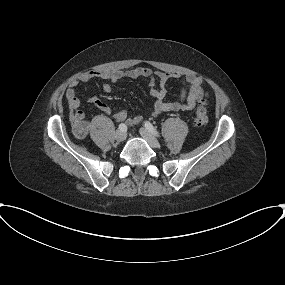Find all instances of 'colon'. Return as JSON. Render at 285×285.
Masks as SVG:
<instances>
[{"instance_id": "5ec220e1", "label": "colon", "mask_w": 285, "mask_h": 285, "mask_svg": "<svg viewBox=\"0 0 285 285\" xmlns=\"http://www.w3.org/2000/svg\"><path fill=\"white\" fill-rule=\"evenodd\" d=\"M194 122L197 127H204L208 122L206 102L204 100H201L197 105ZM87 130L88 127L85 121L75 122L74 135L76 137L78 138L85 137V135L87 134Z\"/></svg>"}]
</instances>
